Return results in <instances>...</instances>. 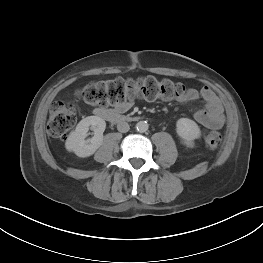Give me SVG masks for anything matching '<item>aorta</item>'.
I'll return each mask as SVG.
<instances>
[{"mask_svg": "<svg viewBox=\"0 0 263 263\" xmlns=\"http://www.w3.org/2000/svg\"><path fill=\"white\" fill-rule=\"evenodd\" d=\"M149 128V125L146 121H139L137 124H136V129L139 131V132H146Z\"/></svg>", "mask_w": 263, "mask_h": 263, "instance_id": "762f6f07", "label": "aorta"}]
</instances>
